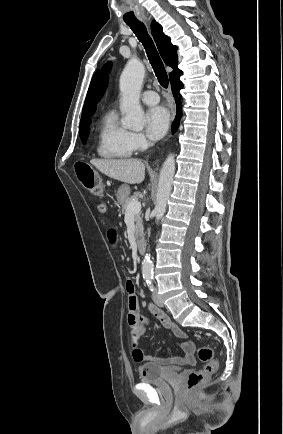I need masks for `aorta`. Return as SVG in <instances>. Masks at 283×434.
<instances>
[{"label": "aorta", "mask_w": 283, "mask_h": 434, "mask_svg": "<svg viewBox=\"0 0 283 434\" xmlns=\"http://www.w3.org/2000/svg\"><path fill=\"white\" fill-rule=\"evenodd\" d=\"M145 75V66L138 59H130L126 64L119 81L121 92L120 108L124 113L122 125L124 128L140 131L144 127V112L140 105V93ZM175 173L174 155H169L160 171L157 189L156 205L153 210L156 222L163 217L167 201L171 194L173 177ZM154 265L150 254L146 253L142 261V273L151 277Z\"/></svg>", "instance_id": "762f6f07"}]
</instances>
